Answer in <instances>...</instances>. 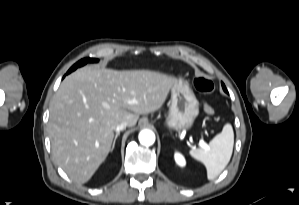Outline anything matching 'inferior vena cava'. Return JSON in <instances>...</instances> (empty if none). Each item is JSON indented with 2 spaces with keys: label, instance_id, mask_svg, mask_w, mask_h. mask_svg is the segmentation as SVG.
<instances>
[{
  "label": "inferior vena cava",
  "instance_id": "obj_1",
  "mask_svg": "<svg viewBox=\"0 0 299 205\" xmlns=\"http://www.w3.org/2000/svg\"><path fill=\"white\" fill-rule=\"evenodd\" d=\"M128 126V123L126 121L121 122L120 124H118L115 128L116 132H120L123 129H125Z\"/></svg>",
  "mask_w": 299,
  "mask_h": 205
}]
</instances>
